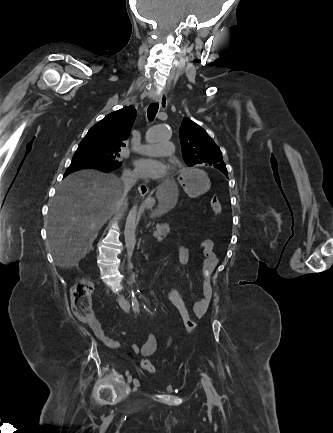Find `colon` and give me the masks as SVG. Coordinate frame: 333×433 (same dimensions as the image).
Instances as JSON below:
<instances>
[{"label": "colon", "mask_w": 333, "mask_h": 433, "mask_svg": "<svg viewBox=\"0 0 333 433\" xmlns=\"http://www.w3.org/2000/svg\"><path fill=\"white\" fill-rule=\"evenodd\" d=\"M210 206L212 212L215 215H219L221 213V203L216 196L212 197ZM169 288L170 290H167V302L169 304H173L174 308H177V312L183 321L184 329L197 330L199 328L197 326L199 321L196 318L192 319L191 311L185 307L186 304L183 302V298L179 296V289H174L175 287L173 285H171ZM92 291L93 284L87 278L78 279L70 291L73 313L80 321L89 325H92L97 321L91 304ZM141 365L149 373L155 372V367L150 359H143L141 361Z\"/></svg>", "instance_id": "obj_1"}]
</instances>
